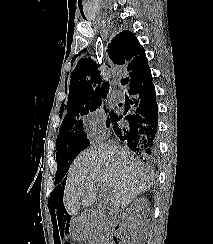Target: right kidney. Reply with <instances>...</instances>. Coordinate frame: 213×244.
<instances>
[{
    "instance_id": "ca27d5eb",
    "label": "right kidney",
    "mask_w": 213,
    "mask_h": 244,
    "mask_svg": "<svg viewBox=\"0 0 213 244\" xmlns=\"http://www.w3.org/2000/svg\"><path fill=\"white\" fill-rule=\"evenodd\" d=\"M149 202L146 198L141 197L136 199L130 208L127 209V212L123 216V220L126 224H131L133 222L134 217L137 216L140 209L148 208Z\"/></svg>"
}]
</instances>
